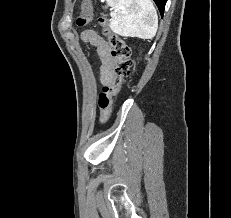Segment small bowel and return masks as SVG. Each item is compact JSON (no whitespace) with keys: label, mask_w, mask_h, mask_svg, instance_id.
Wrapping results in <instances>:
<instances>
[{"label":"small bowel","mask_w":231,"mask_h":218,"mask_svg":"<svg viewBox=\"0 0 231 218\" xmlns=\"http://www.w3.org/2000/svg\"><path fill=\"white\" fill-rule=\"evenodd\" d=\"M81 37L84 42L96 48L101 61L98 69V77L103 89L112 82L115 74V59L112 56L110 46L94 30L83 31Z\"/></svg>","instance_id":"small-bowel-1"}]
</instances>
